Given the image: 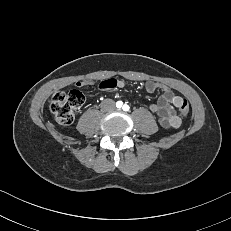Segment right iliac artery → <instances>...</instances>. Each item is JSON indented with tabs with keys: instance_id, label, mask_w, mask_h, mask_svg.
Returning <instances> with one entry per match:
<instances>
[{
	"instance_id": "right-iliac-artery-1",
	"label": "right iliac artery",
	"mask_w": 231,
	"mask_h": 231,
	"mask_svg": "<svg viewBox=\"0 0 231 231\" xmlns=\"http://www.w3.org/2000/svg\"><path fill=\"white\" fill-rule=\"evenodd\" d=\"M116 106H117L118 108H121V107H122V102H121V101H118V102L116 103Z\"/></svg>"
}]
</instances>
